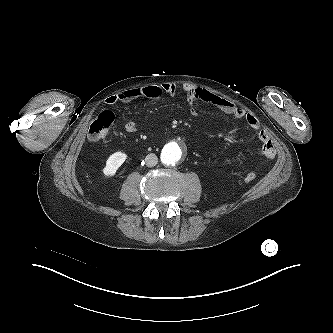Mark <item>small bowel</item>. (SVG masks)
<instances>
[{
    "instance_id": "obj_1",
    "label": "small bowel",
    "mask_w": 333,
    "mask_h": 333,
    "mask_svg": "<svg viewBox=\"0 0 333 333\" xmlns=\"http://www.w3.org/2000/svg\"><path fill=\"white\" fill-rule=\"evenodd\" d=\"M182 91L191 105V114L197 113L194 104L197 102H205L218 108L223 113L231 116L235 120H244L245 123L253 130L258 131V139L261 142V155L263 159L258 162L259 166L266 164L275 157V147L267 131L261 128L258 118L245 110L237 107L230 101L211 93L210 91L192 86L183 85ZM177 93V86L174 83H163L157 86L138 87L122 91L118 94L112 95L106 99V103L113 105L118 102L128 103L135 99H151L161 100L165 96H174ZM124 128L129 133H136L139 130V125L127 121Z\"/></svg>"
}]
</instances>
